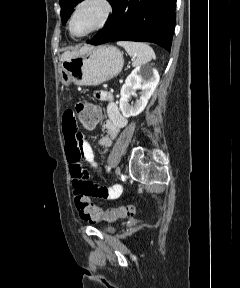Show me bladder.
<instances>
[{
  "label": "bladder",
  "instance_id": "obj_1",
  "mask_svg": "<svg viewBox=\"0 0 240 288\" xmlns=\"http://www.w3.org/2000/svg\"><path fill=\"white\" fill-rule=\"evenodd\" d=\"M103 231H104L105 233L112 234V233H114V232L116 231V229H115V227H113V226H105V227L103 228Z\"/></svg>",
  "mask_w": 240,
  "mask_h": 288
}]
</instances>
